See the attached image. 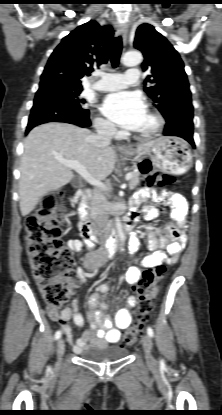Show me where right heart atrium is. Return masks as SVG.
<instances>
[{
	"label": "right heart atrium",
	"instance_id": "obj_1",
	"mask_svg": "<svg viewBox=\"0 0 222 415\" xmlns=\"http://www.w3.org/2000/svg\"><path fill=\"white\" fill-rule=\"evenodd\" d=\"M94 124L97 131L101 134L114 135L116 133L114 125L101 117L95 118Z\"/></svg>",
	"mask_w": 222,
	"mask_h": 415
}]
</instances>
